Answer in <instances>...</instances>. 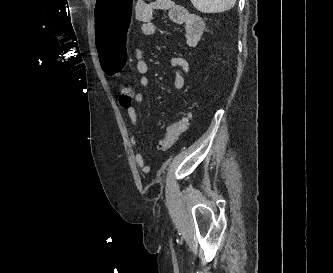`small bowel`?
<instances>
[{"mask_svg":"<svg viewBox=\"0 0 333 273\" xmlns=\"http://www.w3.org/2000/svg\"><path fill=\"white\" fill-rule=\"evenodd\" d=\"M157 12H166L171 22L184 27L186 42L189 46L196 47L199 44L205 27L203 19L173 0H140L136 4L135 17L140 24V29L143 34L158 35L162 33L159 24L154 19ZM169 63L173 70L174 87L177 91H182L185 87L183 73H192L191 64L185 58L180 56L172 57ZM135 66L137 72L141 75L139 78V86L142 89H149L151 87L150 79L147 76L149 64L145 60L140 47H137L135 50ZM132 99V109H124L133 128L130 133V143L133 149L135 163L142 171L146 172L148 170V165L137 145L136 131L139 127V117L137 110L134 107V104L141 103L144 97L141 93H135L133 94Z\"/></svg>","mask_w":333,"mask_h":273,"instance_id":"c3829d8e","label":"small bowel"}]
</instances>
